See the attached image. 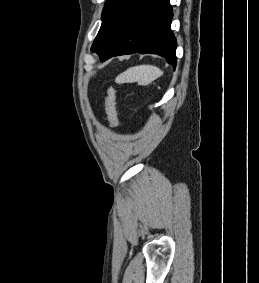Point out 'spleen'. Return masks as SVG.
Here are the masks:
<instances>
[{"mask_svg":"<svg viewBox=\"0 0 259 283\" xmlns=\"http://www.w3.org/2000/svg\"><path fill=\"white\" fill-rule=\"evenodd\" d=\"M163 72L153 65H139L127 69L118 79L122 82H137L139 85H148L159 78Z\"/></svg>","mask_w":259,"mask_h":283,"instance_id":"3e777b00","label":"spleen"}]
</instances>
